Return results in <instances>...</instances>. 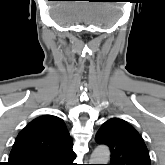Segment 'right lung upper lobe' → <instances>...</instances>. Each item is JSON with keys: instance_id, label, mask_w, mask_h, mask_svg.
Here are the masks:
<instances>
[{"instance_id": "cb5924a9", "label": "right lung upper lobe", "mask_w": 165, "mask_h": 165, "mask_svg": "<svg viewBox=\"0 0 165 165\" xmlns=\"http://www.w3.org/2000/svg\"><path fill=\"white\" fill-rule=\"evenodd\" d=\"M69 146H72V139L64 121L56 116L43 115L18 134L8 165H48Z\"/></svg>"}]
</instances>
